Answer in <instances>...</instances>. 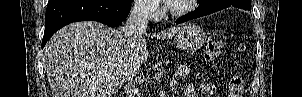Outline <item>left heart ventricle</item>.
<instances>
[{
  "mask_svg": "<svg viewBox=\"0 0 302 97\" xmlns=\"http://www.w3.org/2000/svg\"><path fill=\"white\" fill-rule=\"evenodd\" d=\"M187 0H174L171 4L174 6V7H181L183 5H185L187 2Z\"/></svg>",
  "mask_w": 302,
  "mask_h": 97,
  "instance_id": "obj_1",
  "label": "left heart ventricle"
}]
</instances>
